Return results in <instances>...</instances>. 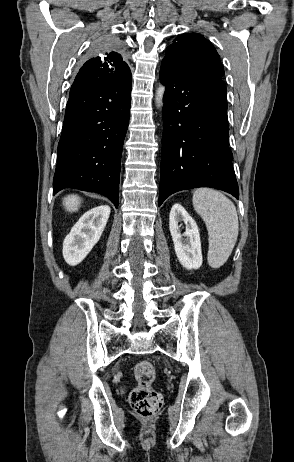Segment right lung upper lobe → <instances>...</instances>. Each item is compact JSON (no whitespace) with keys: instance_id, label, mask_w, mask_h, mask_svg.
<instances>
[{"instance_id":"1","label":"right lung upper lobe","mask_w":294,"mask_h":462,"mask_svg":"<svg viewBox=\"0 0 294 462\" xmlns=\"http://www.w3.org/2000/svg\"><path fill=\"white\" fill-rule=\"evenodd\" d=\"M131 74L128 65L116 49H107L93 55L80 68L70 94L99 89L123 80Z\"/></svg>"}]
</instances>
